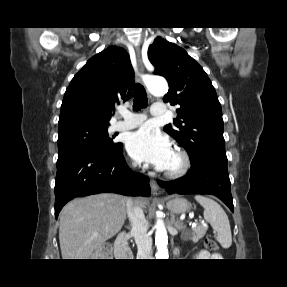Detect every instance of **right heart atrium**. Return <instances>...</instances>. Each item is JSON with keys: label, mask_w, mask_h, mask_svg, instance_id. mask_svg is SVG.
I'll return each instance as SVG.
<instances>
[{"label": "right heart atrium", "mask_w": 287, "mask_h": 287, "mask_svg": "<svg viewBox=\"0 0 287 287\" xmlns=\"http://www.w3.org/2000/svg\"><path fill=\"white\" fill-rule=\"evenodd\" d=\"M131 166H132V167H135V166H136V163H135V162H132V163H131Z\"/></svg>", "instance_id": "d8ad5b80"}]
</instances>
